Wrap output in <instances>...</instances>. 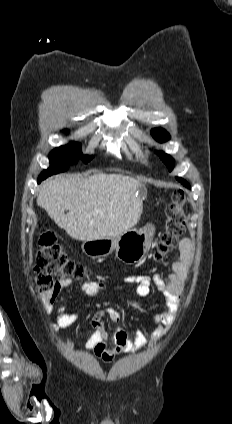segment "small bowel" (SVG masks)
I'll list each match as a JSON object with an SVG mask.
<instances>
[{"mask_svg":"<svg viewBox=\"0 0 232 424\" xmlns=\"http://www.w3.org/2000/svg\"><path fill=\"white\" fill-rule=\"evenodd\" d=\"M193 255L191 240L183 238L179 243V259L172 263L166 279L158 274L154 276L131 274L125 278L127 283L136 286L138 296H149L151 286L155 285L165 298L164 310H152L149 313L150 320L157 325L150 340H148L145 332L140 329L135 331L134 338L131 339L128 332L120 326H116L113 334L109 337L105 331L104 316L107 315L114 324H118L121 315L115 308L106 307L97 310L92 315L90 325L93 331L86 342V349L93 351L97 357L104 361H112L119 354L139 351L146 345L160 340L172 324L179 309L181 296L189 277V268L193 262ZM71 285L72 280L70 279L57 281L53 289L54 297L57 298L63 290ZM80 290L91 298H97L104 292L105 285L99 281H89L83 283ZM78 319L79 314L68 313L65 305H61L56 311V321L53 326L54 328H67L74 325Z\"/></svg>","mask_w":232,"mask_h":424,"instance_id":"c3829d8e","label":"small bowel"}]
</instances>
